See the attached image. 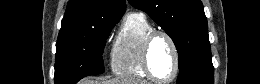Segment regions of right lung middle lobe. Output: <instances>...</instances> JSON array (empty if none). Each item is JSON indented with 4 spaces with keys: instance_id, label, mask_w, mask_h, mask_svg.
<instances>
[{
    "instance_id": "obj_1",
    "label": "right lung middle lobe",
    "mask_w": 260,
    "mask_h": 84,
    "mask_svg": "<svg viewBox=\"0 0 260 84\" xmlns=\"http://www.w3.org/2000/svg\"><path fill=\"white\" fill-rule=\"evenodd\" d=\"M118 21H102L90 26L85 35L58 39L55 58V83L75 84L81 78L104 73L103 50Z\"/></svg>"
}]
</instances>
